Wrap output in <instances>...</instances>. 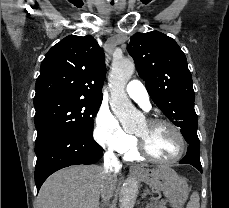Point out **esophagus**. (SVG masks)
I'll use <instances>...</instances> for the list:
<instances>
[{
	"instance_id": "obj_1",
	"label": "esophagus",
	"mask_w": 229,
	"mask_h": 208,
	"mask_svg": "<svg viewBox=\"0 0 229 208\" xmlns=\"http://www.w3.org/2000/svg\"><path fill=\"white\" fill-rule=\"evenodd\" d=\"M139 168L138 167H136V166H131L130 167V173H132V172H134L135 170H138Z\"/></svg>"
}]
</instances>
